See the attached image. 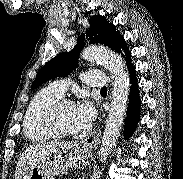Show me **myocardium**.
<instances>
[{
	"mask_svg": "<svg viewBox=\"0 0 183 179\" xmlns=\"http://www.w3.org/2000/svg\"><path fill=\"white\" fill-rule=\"evenodd\" d=\"M66 105H74V103L70 99L61 98L53 104V106L51 107V109L49 111V114L47 117V123H48V127H49L51 133L55 137L64 138V137H72V136L76 135V132H66V131L61 130L58 126L59 112L62 109V107L66 106Z\"/></svg>",
	"mask_w": 183,
	"mask_h": 179,
	"instance_id": "obj_1",
	"label": "myocardium"
}]
</instances>
